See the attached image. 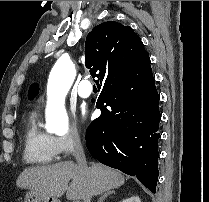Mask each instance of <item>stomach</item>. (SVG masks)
<instances>
[{"mask_svg":"<svg viewBox=\"0 0 209 202\" xmlns=\"http://www.w3.org/2000/svg\"><path fill=\"white\" fill-rule=\"evenodd\" d=\"M24 202H60L55 197H50L35 190L26 192Z\"/></svg>","mask_w":209,"mask_h":202,"instance_id":"stomach-1","label":"stomach"}]
</instances>
